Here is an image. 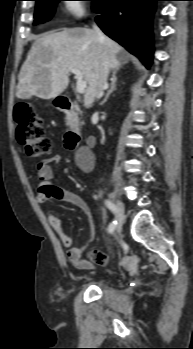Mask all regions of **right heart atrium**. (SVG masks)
<instances>
[{
    "mask_svg": "<svg viewBox=\"0 0 193 349\" xmlns=\"http://www.w3.org/2000/svg\"><path fill=\"white\" fill-rule=\"evenodd\" d=\"M64 11L69 18H80L86 12L85 3L81 0L64 1Z\"/></svg>",
    "mask_w": 193,
    "mask_h": 349,
    "instance_id": "right-heart-atrium-1",
    "label": "right heart atrium"
}]
</instances>
